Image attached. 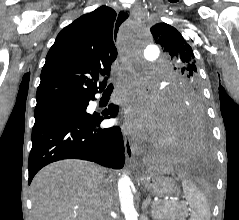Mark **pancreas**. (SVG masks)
I'll return each instance as SVG.
<instances>
[{
    "label": "pancreas",
    "mask_w": 239,
    "mask_h": 220,
    "mask_svg": "<svg viewBox=\"0 0 239 220\" xmlns=\"http://www.w3.org/2000/svg\"><path fill=\"white\" fill-rule=\"evenodd\" d=\"M187 215V209L184 205L155 202L151 209V217L154 220H185Z\"/></svg>",
    "instance_id": "obj_1"
}]
</instances>
